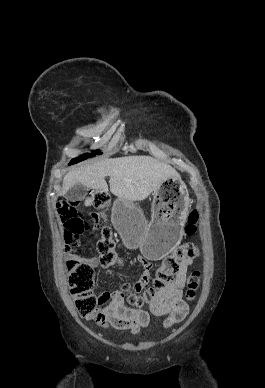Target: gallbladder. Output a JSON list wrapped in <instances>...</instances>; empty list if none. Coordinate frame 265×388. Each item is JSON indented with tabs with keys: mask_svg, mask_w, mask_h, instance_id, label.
<instances>
[{
	"mask_svg": "<svg viewBox=\"0 0 265 388\" xmlns=\"http://www.w3.org/2000/svg\"><path fill=\"white\" fill-rule=\"evenodd\" d=\"M86 194V186H82V184H74L73 188H70V190H68L64 198L65 200H67V202H79V200H82V198H84Z\"/></svg>",
	"mask_w": 265,
	"mask_h": 388,
	"instance_id": "gallbladder-1",
	"label": "gallbladder"
}]
</instances>
